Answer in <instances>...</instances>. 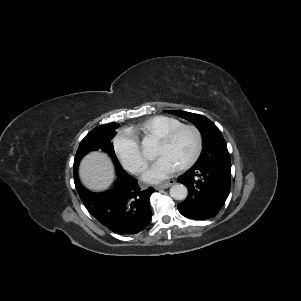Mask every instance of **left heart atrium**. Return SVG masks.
I'll list each match as a JSON object with an SVG mask.
<instances>
[{
  "label": "left heart atrium",
  "mask_w": 301,
  "mask_h": 301,
  "mask_svg": "<svg viewBox=\"0 0 301 301\" xmlns=\"http://www.w3.org/2000/svg\"><path fill=\"white\" fill-rule=\"evenodd\" d=\"M179 167L177 163L167 156H159L145 172L144 178L147 181L158 182L173 174Z\"/></svg>",
  "instance_id": "39dd6f15"
}]
</instances>
